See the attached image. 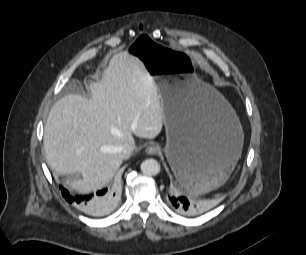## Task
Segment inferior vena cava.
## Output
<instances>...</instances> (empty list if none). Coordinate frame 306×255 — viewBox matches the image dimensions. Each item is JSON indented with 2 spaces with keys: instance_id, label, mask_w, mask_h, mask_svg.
<instances>
[{
  "instance_id": "1",
  "label": "inferior vena cava",
  "mask_w": 306,
  "mask_h": 255,
  "mask_svg": "<svg viewBox=\"0 0 306 255\" xmlns=\"http://www.w3.org/2000/svg\"><path fill=\"white\" fill-rule=\"evenodd\" d=\"M136 146L135 144H124L121 148H120V152L125 156H129L134 150H135Z\"/></svg>"
}]
</instances>
